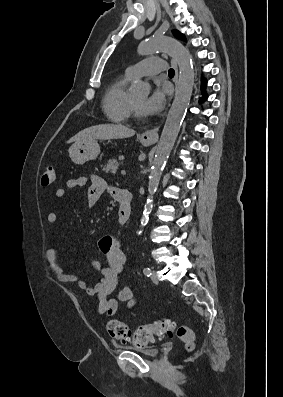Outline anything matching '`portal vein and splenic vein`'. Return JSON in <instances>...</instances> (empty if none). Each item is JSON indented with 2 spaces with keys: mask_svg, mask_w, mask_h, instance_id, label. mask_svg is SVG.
<instances>
[{
  "mask_svg": "<svg viewBox=\"0 0 283 397\" xmlns=\"http://www.w3.org/2000/svg\"><path fill=\"white\" fill-rule=\"evenodd\" d=\"M121 174L122 175H126V171L125 170H121Z\"/></svg>",
  "mask_w": 283,
  "mask_h": 397,
  "instance_id": "portal-vein-and-splenic-vein-1",
  "label": "portal vein and splenic vein"
}]
</instances>
